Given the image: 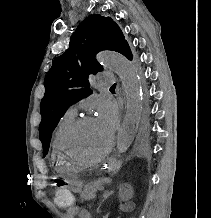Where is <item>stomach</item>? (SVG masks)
Returning <instances> with one entry per match:
<instances>
[{
  "mask_svg": "<svg viewBox=\"0 0 211 218\" xmlns=\"http://www.w3.org/2000/svg\"><path fill=\"white\" fill-rule=\"evenodd\" d=\"M113 169V166H109L108 170L111 171ZM65 183L67 184L68 188L73 192H81L84 183L78 179L77 176L72 175L68 176L65 179Z\"/></svg>",
  "mask_w": 211,
  "mask_h": 218,
  "instance_id": "1",
  "label": "stomach"
}]
</instances>
